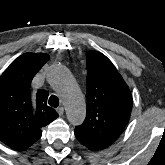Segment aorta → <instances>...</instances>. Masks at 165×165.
<instances>
[{"mask_svg":"<svg viewBox=\"0 0 165 165\" xmlns=\"http://www.w3.org/2000/svg\"><path fill=\"white\" fill-rule=\"evenodd\" d=\"M47 79L60 88L68 121L73 126L82 124L86 116L85 99L69 71L63 65H54Z\"/></svg>","mask_w":165,"mask_h":165,"instance_id":"1","label":"aorta"}]
</instances>
